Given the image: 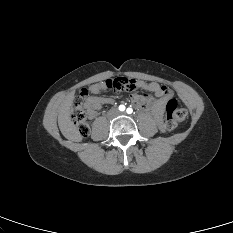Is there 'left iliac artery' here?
Segmentation results:
<instances>
[{"instance_id": "44dca946", "label": "left iliac artery", "mask_w": 233, "mask_h": 233, "mask_svg": "<svg viewBox=\"0 0 233 233\" xmlns=\"http://www.w3.org/2000/svg\"><path fill=\"white\" fill-rule=\"evenodd\" d=\"M126 112H127L128 114H131V113L133 112V109H132V108H127Z\"/></svg>"}]
</instances>
